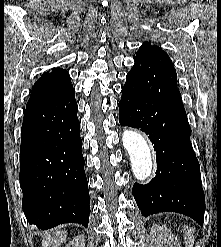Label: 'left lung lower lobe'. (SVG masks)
<instances>
[{"instance_id":"0a47b994","label":"left lung lower lobe","mask_w":221,"mask_h":247,"mask_svg":"<svg viewBox=\"0 0 221 247\" xmlns=\"http://www.w3.org/2000/svg\"><path fill=\"white\" fill-rule=\"evenodd\" d=\"M122 126L140 128L156 151V176L148 184L135 183L132 193L143 216L178 212L203 226L205 211L199 162L190 141L185 110L138 94L126 77L119 102Z\"/></svg>"}]
</instances>
